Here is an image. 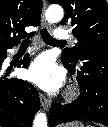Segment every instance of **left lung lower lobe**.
<instances>
[{"label":"left lung lower lobe","instance_id":"0a47b994","mask_svg":"<svg viewBox=\"0 0 108 127\" xmlns=\"http://www.w3.org/2000/svg\"><path fill=\"white\" fill-rule=\"evenodd\" d=\"M80 70L73 64H65L71 74L77 75L82 90L71 104H53L49 113V125L86 119L108 126V52L98 56H85Z\"/></svg>","mask_w":108,"mask_h":127}]
</instances>
